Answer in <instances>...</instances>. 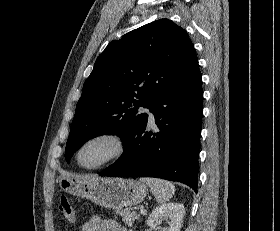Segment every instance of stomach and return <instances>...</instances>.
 Returning <instances> with one entry per match:
<instances>
[{
	"label": "stomach",
	"instance_id": "obj_1",
	"mask_svg": "<svg viewBox=\"0 0 280 231\" xmlns=\"http://www.w3.org/2000/svg\"><path fill=\"white\" fill-rule=\"evenodd\" d=\"M60 189L78 197H86L107 209H122L141 203L148 191L145 183L122 177H86V175H59Z\"/></svg>",
	"mask_w": 280,
	"mask_h": 231
}]
</instances>
